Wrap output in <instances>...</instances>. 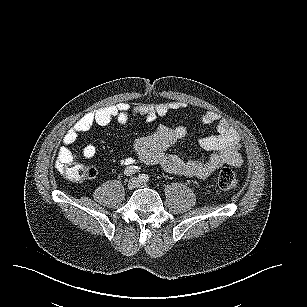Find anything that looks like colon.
I'll return each mask as SVG.
<instances>
[{
    "mask_svg": "<svg viewBox=\"0 0 307 307\" xmlns=\"http://www.w3.org/2000/svg\"><path fill=\"white\" fill-rule=\"evenodd\" d=\"M59 172L69 180L80 182L86 179L94 178L97 170L93 166H87L77 161L58 164ZM217 185L225 191L234 190L238 187V179L232 169L222 168L216 178Z\"/></svg>",
    "mask_w": 307,
    "mask_h": 307,
    "instance_id": "5ec220e1",
    "label": "colon"
}]
</instances>
